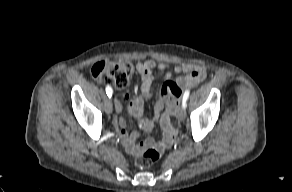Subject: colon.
Masks as SVG:
<instances>
[{"mask_svg":"<svg viewBox=\"0 0 292 192\" xmlns=\"http://www.w3.org/2000/svg\"><path fill=\"white\" fill-rule=\"evenodd\" d=\"M132 66L127 62L98 61L90 69L92 77L98 81L106 82L116 89L128 86L132 76ZM160 157L159 149L147 148L135 159V165L144 169L153 165Z\"/></svg>","mask_w":292,"mask_h":192,"instance_id":"obj_1","label":"colon"}]
</instances>
